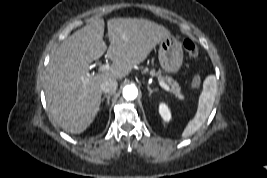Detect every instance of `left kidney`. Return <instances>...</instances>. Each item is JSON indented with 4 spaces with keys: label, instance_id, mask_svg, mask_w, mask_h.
I'll return each instance as SVG.
<instances>
[{
    "label": "left kidney",
    "instance_id": "5707ae66",
    "mask_svg": "<svg viewBox=\"0 0 267 178\" xmlns=\"http://www.w3.org/2000/svg\"><path fill=\"white\" fill-rule=\"evenodd\" d=\"M159 113L164 121L169 122L171 119V113L169 111L168 106L165 103H160L159 105Z\"/></svg>",
    "mask_w": 267,
    "mask_h": 178
}]
</instances>
